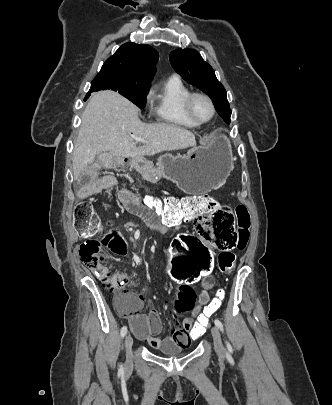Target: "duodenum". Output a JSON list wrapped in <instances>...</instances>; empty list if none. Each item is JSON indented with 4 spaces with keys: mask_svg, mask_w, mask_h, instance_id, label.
<instances>
[{
    "mask_svg": "<svg viewBox=\"0 0 332 405\" xmlns=\"http://www.w3.org/2000/svg\"><path fill=\"white\" fill-rule=\"evenodd\" d=\"M180 225V222L176 221V222H166L163 226V230L164 232H167L168 230H170L171 228H175L178 227Z\"/></svg>",
    "mask_w": 332,
    "mask_h": 405,
    "instance_id": "410a0bca",
    "label": "duodenum"
}]
</instances>
